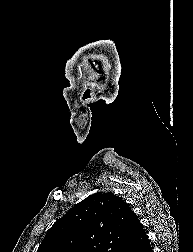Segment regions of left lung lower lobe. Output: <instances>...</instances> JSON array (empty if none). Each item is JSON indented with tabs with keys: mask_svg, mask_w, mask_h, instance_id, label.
<instances>
[{
	"mask_svg": "<svg viewBox=\"0 0 193 252\" xmlns=\"http://www.w3.org/2000/svg\"><path fill=\"white\" fill-rule=\"evenodd\" d=\"M123 252H153L149 239L139 223Z\"/></svg>",
	"mask_w": 193,
	"mask_h": 252,
	"instance_id": "left-lung-lower-lobe-1",
	"label": "left lung lower lobe"
}]
</instances>
